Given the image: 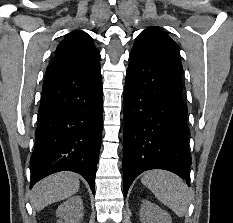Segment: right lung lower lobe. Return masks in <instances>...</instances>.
I'll list each match as a JSON object with an SVG mask.
<instances>
[{"mask_svg":"<svg viewBox=\"0 0 233 223\" xmlns=\"http://www.w3.org/2000/svg\"><path fill=\"white\" fill-rule=\"evenodd\" d=\"M102 96L100 64L45 78L30 159V188L52 173L67 170L81 174L94 193L102 141Z\"/></svg>","mask_w":233,"mask_h":223,"instance_id":"right-lung-lower-lobe-1","label":"right lung lower lobe"}]
</instances>
